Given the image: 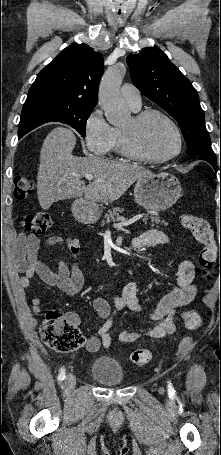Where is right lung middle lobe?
Here are the masks:
<instances>
[{
	"label": "right lung middle lobe",
	"mask_w": 221,
	"mask_h": 455,
	"mask_svg": "<svg viewBox=\"0 0 221 455\" xmlns=\"http://www.w3.org/2000/svg\"><path fill=\"white\" fill-rule=\"evenodd\" d=\"M95 106L58 103H34L24 105L18 128V136L47 122H61L76 129L85 137L86 122Z\"/></svg>",
	"instance_id": "dd1d6c3e"
}]
</instances>
